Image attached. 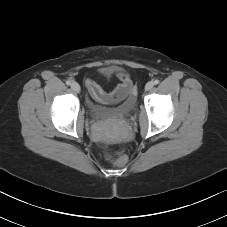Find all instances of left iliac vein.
I'll return each mask as SVG.
<instances>
[{
    "label": "left iliac vein",
    "instance_id": "1",
    "mask_svg": "<svg viewBox=\"0 0 227 227\" xmlns=\"http://www.w3.org/2000/svg\"><path fill=\"white\" fill-rule=\"evenodd\" d=\"M154 86V83L152 81H149L146 85H145V90H150L152 89V87Z\"/></svg>",
    "mask_w": 227,
    "mask_h": 227
}]
</instances>
